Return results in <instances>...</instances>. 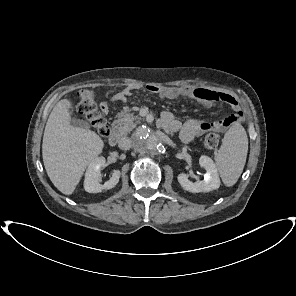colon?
Masks as SVG:
<instances>
[{"mask_svg":"<svg viewBox=\"0 0 296 296\" xmlns=\"http://www.w3.org/2000/svg\"><path fill=\"white\" fill-rule=\"evenodd\" d=\"M78 98L77 112L102 138L106 139L109 134V128L102 115V106L98 105L94 93L89 89H83L78 92ZM219 142L220 135L216 132L208 133L204 139V144L208 148L217 147Z\"/></svg>","mask_w":296,"mask_h":296,"instance_id":"5ec220e1","label":"colon"}]
</instances>
